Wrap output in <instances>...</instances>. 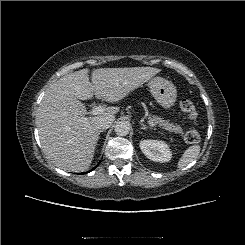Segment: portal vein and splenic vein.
I'll list each match as a JSON object with an SVG mask.
<instances>
[{"mask_svg":"<svg viewBox=\"0 0 245 245\" xmlns=\"http://www.w3.org/2000/svg\"><path fill=\"white\" fill-rule=\"evenodd\" d=\"M105 107L103 106H96V107H93L92 111L90 112L91 115H101L105 112ZM148 123L151 125V126H156V124L152 121H148Z\"/></svg>","mask_w":245,"mask_h":245,"instance_id":"obj_1","label":"portal vein and splenic vein"}]
</instances>
